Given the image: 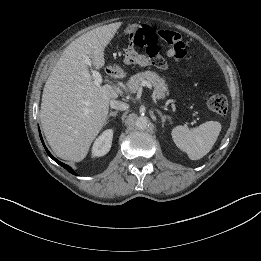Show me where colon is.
Instances as JSON below:
<instances>
[{
  "instance_id": "obj_1",
  "label": "colon",
  "mask_w": 261,
  "mask_h": 261,
  "mask_svg": "<svg viewBox=\"0 0 261 261\" xmlns=\"http://www.w3.org/2000/svg\"><path fill=\"white\" fill-rule=\"evenodd\" d=\"M122 34L129 36V40L134 46L143 48L149 63L159 69H165L167 64L160 54L158 38L162 39L176 56L184 57L186 53L184 43L176 31L172 32L169 28L152 26L149 19L142 20L140 25L128 24L122 29ZM208 108L215 115L226 116L228 112L227 99L223 95H214L208 100Z\"/></svg>"
}]
</instances>
